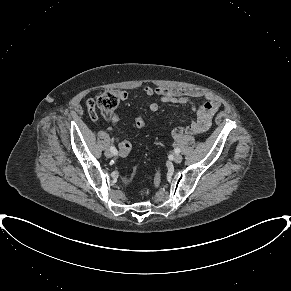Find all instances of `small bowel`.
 <instances>
[{"mask_svg": "<svg viewBox=\"0 0 291 291\" xmlns=\"http://www.w3.org/2000/svg\"><path fill=\"white\" fill-rule=\"evenodd\" d=\"M142 90L147 96H158L161 102L166 104H191L195 114L194 118L187 126L177 127L172 131V135L176 140L180 139L184 134H201L206 132L211 126L212 116L219 110L221 106V102L215 94L201 89H173L165 87H151L149 85H145ZM119 95L121 100H125L128 98V94L125 91L119 92ZM193 98H203L205 102L200 105H195L192 102ZM87 106L90 116L93 119H97V114L92 99H89L87 101ZM158 109L159 105L156 102H152L149 105V110L151 112H157ZM103 116L108 122L114 125L119 122V116L113 110L103 112Z\"/></svg>", "mask_w": 291, "mask_h": 291, "instance_id": "obj_1", "label": "small bowel"}]
</instances>
